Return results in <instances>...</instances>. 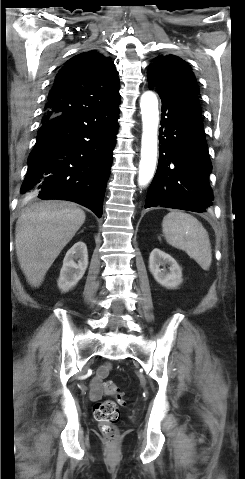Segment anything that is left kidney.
Returning a JSON list of instances; mask_svg holds the SVG:
<instances>
[{
    "mask_svg": "<svg viewBox=\"0 0 245 479\" xmlns=\"http://www.w3.org/2000/svg\"><path fill=\"white\" fill-rule=\"evenodd\" d=\"M166 265H169V270H166ZM149 270L154 279L166 288H177L183 281L182 269L176 260L158 248L150 253Z\"/></svg>",
    "mask_w": 245,
    "mask_h": 479,
    "instance_id": "1",
    "label": "left kidney"
}]
</instances>
